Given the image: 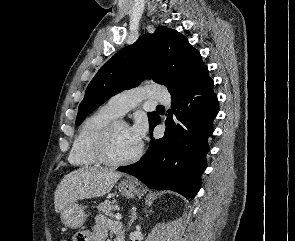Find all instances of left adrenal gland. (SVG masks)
<instances>
[{
  "label": "left adrenal gland",
  "mask_w": 295,
  "mask_h": 241,
  "mask_svg": "<svg viewBox=\"0 0 295 241\" xmlns=\"http://www.w3.org/2000/svg\"><path fill=\"white\" fill-rule=\"evenodd\" d=\"M137 219L136 207H132L130 221L128 223L129 228L132 226V223Z\"/></svg>",
  "instance_id": "1"
}]
</instances>
